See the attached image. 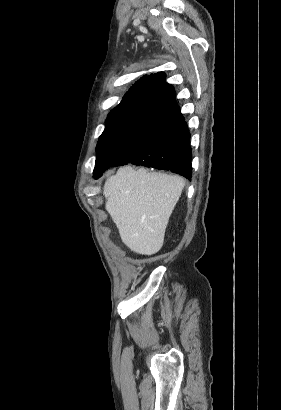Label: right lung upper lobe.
Masks as SVG:
<instances>
[{"mask_svg": "<svg viewBox=\"0 0 281 410\" xmlns=\"http://www.w3.org/2000/svg\"><path fill=\"white\" fill-rule=\"evenodd\" d=\"M134 104L153 106L168 111L177 106L174 88L166 83L163 72L144 75L135 82L117 106Z\"/></svg>", "mask_w": 281, "mask_h": 410, "instance_id": "1", "label": "right lung upper lobe"}]
</instances>
